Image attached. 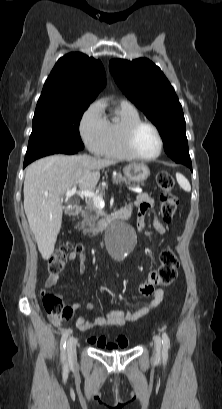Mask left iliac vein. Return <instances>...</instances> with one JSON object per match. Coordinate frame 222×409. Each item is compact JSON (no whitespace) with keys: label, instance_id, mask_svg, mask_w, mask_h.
Instances as JSON below:
<instances>
[{"label":"left iliac vein","instance_id":"left-iliac-vein-1","mask_svg":"<svg viewBox=\"0 0 222 409\" xmlns=\"http://www.w3.org/2000/svg\"><path fill=\"white\" fill-rule=\"evenodd\" d=\"M154 341H155L154 356H155V359H159L161 355V348H162L161 339L159 336H155Z\"/></svg>","mask_w":222,"mask_h":409}]
</instances>
